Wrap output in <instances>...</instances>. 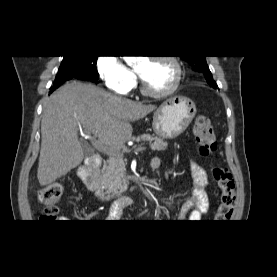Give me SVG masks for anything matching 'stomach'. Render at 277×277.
<instances>
[{
    "label": "stomach",
    "instance_id": "1",
    "mask_svg": "<svg viewBox=\"0 0 277 277\" xmlns=\"http://www.w3.org/2000/svg\"><path fill=\"white\" fill-rule=\"evenodd\" d=\"M196 115L195 103L184 96H174L164 101L154 112L152 128L162 139L180 136Z\"/></svg>",
    "mask_w": 277,
    "mask_h": 277
}]
</instances>
